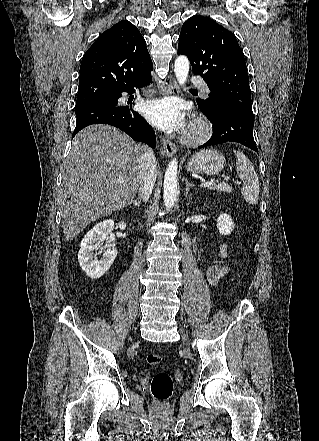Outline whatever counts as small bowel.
<instances>
[{"label": "small bowel", "instance_id": "c3829d8e", "mask_svg": "<svg viewBox=\"0 0 319 441\" xmlns=\"http://www.w3.org/2000/svg\"><path fill=\"white\" fill-rule=\"evenodd\" d=\"M222 256H226V246L223 245L221 248ZM228 270L220 265H214L210 267L207 271V277L212 285H217L227 274Z\"/></svg>", "mask_w": 319, "mask_h": 441}]
</instances>
